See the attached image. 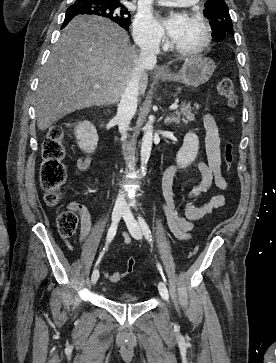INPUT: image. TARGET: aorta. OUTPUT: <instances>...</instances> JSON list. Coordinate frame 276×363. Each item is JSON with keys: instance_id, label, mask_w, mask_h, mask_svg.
I'll list each match as a JSON object with an SVG mask.
<instances>
[{"instance_id": "762f6f07", "label": "aorta", "mask_w": 276, "mask_h": 363, "mask_svg": "<svg viewBox=\"0 0 276 363\" xmlns=\"http://www.w3.org/2000/svg\"><path fill=\"white\" fill-rule=\"evenodd\" d=\"M152 121L149 122L145 126L142 146H141V174L145 175L146 173V164L149 160L152 143H153V129H152Z\"/></svg>"}]
</instances>
